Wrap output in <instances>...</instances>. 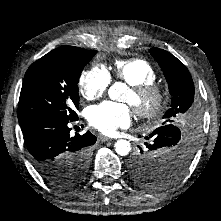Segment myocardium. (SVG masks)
Returning <instances> with one entry per match:
<instances>
[{"instance_id": "obj_1", "label": "myocardium", "mask_w": 221, "mask_h": 221, "mask_svg": "<svg viewBox=\"0 0 221 221\" xmlns=\"http://www.w3.org/2000/svg\"><path fill=\"white\" fill-rule=\"evenodd\" d=\"M130 91L134 97L133 108L142 119L158 117L167 106L168 93L160 84L151 82L131 86Z\"/></svg>"}]
</instances>
